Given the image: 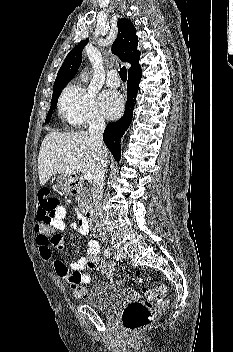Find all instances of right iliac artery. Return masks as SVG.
I'll use <instances>...</instances> for the list:
<instances>
[{"instance_id":"obj_1","label":"right iliac artery","mask_w":233,"mask_h":352,"mask_svg":"<svg viewBox=\"0 0 233 352\" xmlns=\"http://www.w3.org/2000/svg\"><path fill=\"white\" fill-rule=\"evenodd\" d=\"M104 256L107 257V258H109L111 256V251H110L109 248L104 250Z\"/></svg>"}]
</instances>
